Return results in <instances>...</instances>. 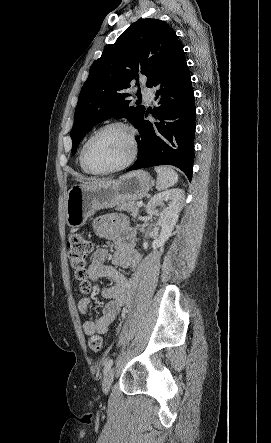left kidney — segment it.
Instances as JSON below:
<instances>
[{
	"mask_svg": "<svg viewBox=\"0 0 271 443\" xmlns=\"http://www.w3.org/2000/svg\"><path fill=\"white\" fill-rule=\"evenodd\" d=\"M184 200L183 190L175 188V190H167V192L157 194L148 202L147 214L149 216H158L159 223L162 225L160 235L153 237L154 241H152L151 247H154V249L155 247H161L169 239L178 220V214L184 206ZM165 202H167L168 208H166ZM148 245L149 243L144 241V249H147Z\"/></svg>",
	"mask_w": 271,
	"mask_h": 443,
	"instance_id": "left-kidney-1",
	"label": "left kidney"
}]
</instances>
